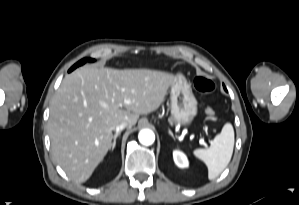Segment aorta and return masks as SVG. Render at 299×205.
I'll return each mask as SVG.
<instances>
[{"mask_svg":"<svg viewBox=\"0 0 299 205\" xmlns=\"http://www.w3.org/2000/svg\"><path fill=\"white\" fill-rule=\"evenodd\" d=\"M138 139L141 144L149 146L155 141V134L152 130L143 129L139 132Z\"/></svg>","mask_w":299,"mask_h":205,"instance_id":"762f6f07","label":"aorta"}]
</instances>
